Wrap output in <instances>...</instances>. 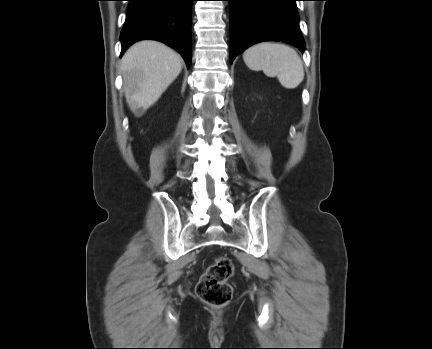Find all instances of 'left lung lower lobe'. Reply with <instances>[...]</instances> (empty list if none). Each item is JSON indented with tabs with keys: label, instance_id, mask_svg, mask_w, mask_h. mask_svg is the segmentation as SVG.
I'll return each instance as SVG.
<instances>
[{
	"label": "left lung lower lobe",
	"instance_id": "0a47b994",
	"mask_svg": "<svg viewBox=\"0 0 432 349\" xmlns=\"http://www.w3.org/2000/svg\"><path fill=\"white\" fill-rule=\"evenodd\" d=\"M230 2V62L242 51L263 41H282L302 52L297 0H227Z\"/></svg>",
	"mask_w": 432,
	"mask_h": 349
}]
</instances>
